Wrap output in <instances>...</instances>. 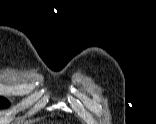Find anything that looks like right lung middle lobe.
Returning a JSON list of instances; mask_svg holds the SVG:
<instances>
[{"label":"right lung middle lobe","instance_id":"dd1d6c3e","mask_svg":"<svg viewBox=\"0 0 156 124\" xmlns=\"http://www.w3.org/2000/svg\"><path fill=\"white\" fill-rule=\"evenodd\" d=\"M9 106V101L3 97H0V108H5Z\"/></svg>","mask_w":156,"mask_h":124}]
</instances>
